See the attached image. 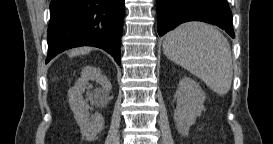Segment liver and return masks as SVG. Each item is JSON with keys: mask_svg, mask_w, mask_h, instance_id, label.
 <instances>
[{"mask_svg": "<svg viewBox=\"0 0 273 144\" xmlns=\"http://www.w3.org/2000/svg\"><path fill=\"white\" fill-rule=\"evenodd\" d=\"M91 50H92L91 47H80V48H76V49H73V50L70 52V56L73 57V56H77V55H80V54H87V53H89Z\"/></svg>", "mask_w": 273, "mask_h": 144, "instance_id": "6515ba94", "label": "liver"}]
</instances>
